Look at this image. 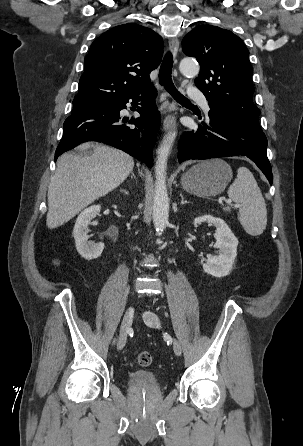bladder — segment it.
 <instances>
[{"label":"bladder","mask_w":303,"mask_h":446,"mask_svg":"<svg viewBox=\"0 0 303 446\" xmlns=\"http://www.w3.org/2000/svg\"><path fill=\"white\" fill-rule=\"evenodd\" d=\"M127 383L130 387L138 388H157L159 387L158 377L146 370H135L128 376Z\"/></svg>","instance_id":"1"}]
</instances>
